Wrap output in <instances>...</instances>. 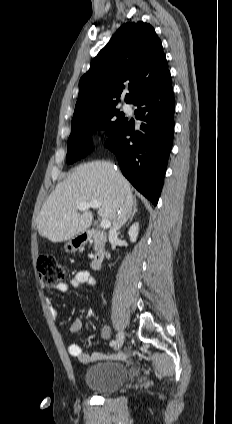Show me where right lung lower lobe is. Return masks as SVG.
<instances>
[{"mask_svg":"<svg viewBox=\"0 0 232 424\" xmlns=\"http://www.w3.org/2000/svg\"><path fill=\"white\" fill-rule=\"evenodd\" d=\"M133 104L138 106L136 118L143 121L140 131L132 132L127 121L105 146L115 153L123 175L157 205L173 143L175 101L170 72Z\"/></svg>","mask_w":232,"mask_h":424,"instance_id":"obj_1","label":"right lung lower lobe"}]
</instances>
